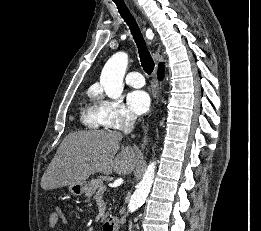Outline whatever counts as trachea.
<instances>
[{"instance_id": "1", "label": "trachea", "mask_w": 261, "mask_h": 231, "mask_svg": "<svg viewBox=\"0 0 261 231\" xmlns=\"http://www.w3.org/2000/svg\"><path fill=\"white\" fill-rule=\"evenodd\" d=\"M114 2L117 5L120 15L129 26L131 34L133 35V39L138 47L141 65L144 71L150 75L154 70V61L146 47L143 35L125 3L122 0H114Z\"/></svg>"}]
</instances>
